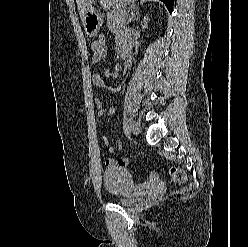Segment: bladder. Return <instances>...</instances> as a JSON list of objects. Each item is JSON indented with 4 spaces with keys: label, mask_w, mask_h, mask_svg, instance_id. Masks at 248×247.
<instances>
[{
    "label": "bladder",
    "mask_w": 248,
    "mask_h": 247,
    "mask_svg": "<svg viewBox=\"0 0 248 247\" xmlns=\"http://www.w3.org/2000/svg\"><path fill=\"white\" fill-rule=\"evenodd\" d=\"M104 183L108 194L121 205H131L141 194L131 173L121 167H113L104 172Z\"/></svg>",
    "instance_id": "obj_1"
}]
</instances>
